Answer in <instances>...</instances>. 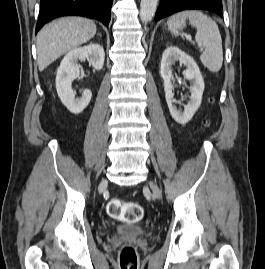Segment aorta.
Returning a JSON list of instances; mask_svg holds the SVG:
<instances>
[{
	"mask_svg": "<svg viewBox=\"0 0 265 269\" xmlns=\"http://www.w3.org/2000/svg\"><path fill=\"white\" fill-rule=\"evenodd\" d=\"M158 5V0H141L140 4V19L143 23L151 21L155 15Z\"/></svg>",
	"mask_w": 265,
	"mask_h": 269,
	"instance_id": "762f6f07",
	"label": "aorta"
}]
</instances>
